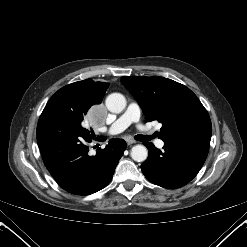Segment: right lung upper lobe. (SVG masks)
<instances>
[{
    "label": "right lung upper lobe",
    "mask_w": 247,
    "mask_h": 247,
    "mask_svg": "<svg viewBox=\"0 0 247 247\" xmlns=\"http://www.w3.org/2000/svg\"><path fill=\"white\" fill-rule=\"evenodd\" d=\"M108 83L94 82L91 79L74 82L68 86L76 87L80 91L92 95L98 102H101L105 94L106 89L108 88Z\"/></svg>",
    "instance_id": "1"
}]
</instances>
